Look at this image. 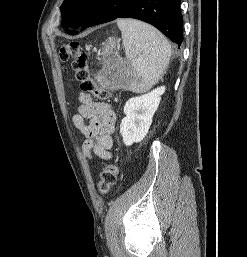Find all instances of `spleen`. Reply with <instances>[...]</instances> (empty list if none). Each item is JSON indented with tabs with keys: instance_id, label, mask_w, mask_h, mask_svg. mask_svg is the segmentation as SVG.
I'll return each instance as SVG.
<instances>
[{
	"instance_id": "1",
	"label": "spleen",
	"mask_w": 247,
	"mask_h": 257,
	"mask_svg": "<svg viewBox=\"0 0 247 257\" xmlns=\"http://www.w3.org/2000/svg\"><path fill=\"white\" fill-rule=\"evenodd\" d=\"M125 55L130 65L132 89L145 91L166 73L171 45L154 27L134 19H118Z\"/></svg>"
}]
</instances>
